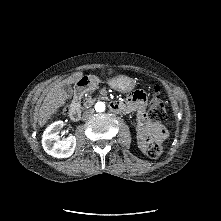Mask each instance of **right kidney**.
Returning a JSON list of instances; mask_svg holds the SVG:
<instances>
[{
	"mask_svg": "<svg viewBox=\"0 0 221 221\" xmlns=\"http://www.w3.org/2000/svg\"><path fill=\"white\" fill-rule=\"evenodd\" d=\"M62 121L52 123L43 133L42 146L45 152L55 158L70 157L76 147L75 136L59 140V132L63 128Z\"/></svg>",
	"mask_w": 221,
	"mask_h": 221,
	"instance_id": "obj_1",
	"label": "right kidney"
}]
</instances>
